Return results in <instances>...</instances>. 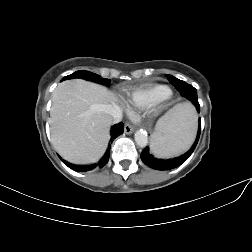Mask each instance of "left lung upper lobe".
Instances as JSON below:
<instances>
[{"instance_id": "obj_1", "label": "left lung upper lobe", "mask_w": 252, "mask_h": 252, "mask_svg": "<svg viewBox=\"0 0 252 252\" xmlns=\"http://www.w3.org/2000/svg\"><path fill=\"white\" fill-rule=\"evenodd\" d=\"M167 77H168V79H169V82H170L172 85H174V83H178L179 81H181V80H179V79H177V78H175V77H173V76H171V75H167Z\"/></svg>"}]
</instances>
